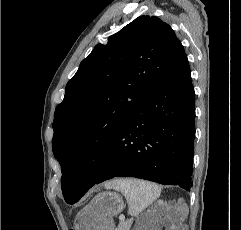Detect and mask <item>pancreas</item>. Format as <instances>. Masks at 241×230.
<instances>
[{
  "label": "pancreas",
  "instance_id": "pancreas-1",
  "mask_svg": "<svg viewBox=\"0 0 241 230\" xmlns=\"http://www.w3.org/2000/svg\"><path fill=\"white\" fill-rule=\"evenodd\" d=\"M130 226H131L130 221H123V222H120L116 230H129Z\"/></svg>",
  "mask_w": 241,
  "mask_h": 230
}]
</instances>
